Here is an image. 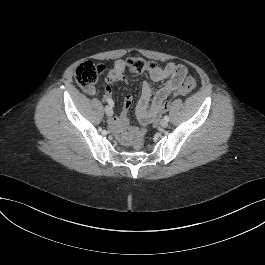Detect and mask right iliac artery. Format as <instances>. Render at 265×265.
<instances>
[{
	"mask_svg": "<svg viewBox=\"0 0 265 265\" xmlns=\"http://www.w3.org/2000/svg\"><path fill=\"white\" fill-rule=\"evenodd\" d=\"M108 104H109L110 106H113V102H112V101H108Z\"/></svg>",
	"mask_w": 265,
	"mask_h": 265,
	"instance_id": "82829eb1",
	"label": "right iliac artery"
}]
</instances>
